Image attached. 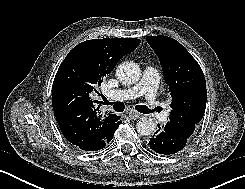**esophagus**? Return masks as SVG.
Listing matches in <instances>:
<instances>
[{
  "instance_id": "esophagus-1",
  "label": "esophagus",
  "mask_w": 245,
  "mask_h": 189,
  "mask_svg": "<svg viewBox=\"0 0 245 189\" xmlns=\"http://www.w3.org/2000/svg\"><path fill=\"white\" fill-rule=\"evenodd\" d=\"M128 115H129V117H130L131 119H133V120H136V119H138V118L141 117V114H140L139 112L135 111V110H130V111L128 112Z\"/></svg>"
}]
</instances>
